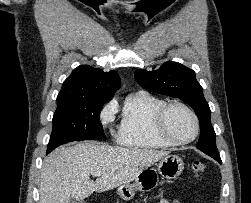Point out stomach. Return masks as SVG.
<instances>
[{
    "label": "stomach",
    "instance_id": "stomach-1",
    "mask_svg": "<svg viewBox=\"0 0 251 203\" xmlns=\"http://www.w3.org/2000/svg\"><path fill=\"white\" fill-rule=\"evenodd\" d=\"M184 169L183 160L177 155H167L160 159L157 168L144 169L134 180L119 186L117 194L123 200H131L136 191H150L159 183V175L165 179L177 178Z\"/></svg>",
    "mask_w": 251,
    "mask_h": 203
}]
</instances>
